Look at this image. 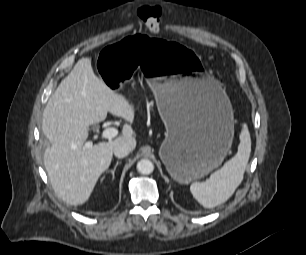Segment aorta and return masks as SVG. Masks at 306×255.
I'll list each match as a JSON object with an SVG mask.
<instances>
[{"instance_id": "aorta-1", "label": "aorta", "mask_w": 306, "mask_h": 255, "mask_svg": "<svg viewBox=\"0 0 306 255\" xmlns=\"http://www.w3.org/2000/svg\"><path fill=\"white\" fill-rule=\"evenodd\" d=\"M137 170L144 175L150 174L154 170V164L148 159H141L137 163Z\"/></svg>"}]
</instances>
